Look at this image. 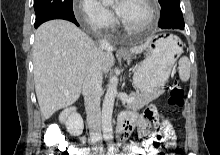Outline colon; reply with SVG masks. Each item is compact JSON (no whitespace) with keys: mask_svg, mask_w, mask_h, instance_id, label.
<instances>
[{"mask_svg":"<svg viewBox=\"0 0 220 155\" xmlns=\"http://www.w3.org/2000/svg\"><path fill=\"white\" fill-rule=\"evenodd\" d=\"M184 103V90L178 80H174L169 88L168 105L171 108L182 107ZM48 137L51 143L45 144V151L47 155H71L70 143H65L57 129H52L48 132ZM156 141H154L151 147L155 150L159 149V155H174V144L172 141L163 142L162 135H156Z\"/></svg>","mask_w":220,"mask_h":155,"instance_id":"obj_1","label":"colon"}]
</instances>
